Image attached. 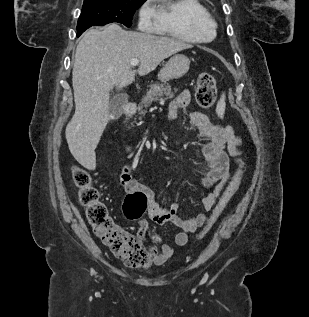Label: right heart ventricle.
<instances>
[{"instance_id": "obj_1", "label": "right heart ventricle", "mask_w": 309, "mask_h": 317, "mask_svg": "<svg viewBox=\"0 0 309 317\" xmlns=\"http://www.w3.org/2000/svg\"><path fill=\"white\" fill-rule=\"evenodd\" d=\"M158 33L190 42L206 43L216 36V22L199 0H157Z\"/></svg>"}]
</instances>
